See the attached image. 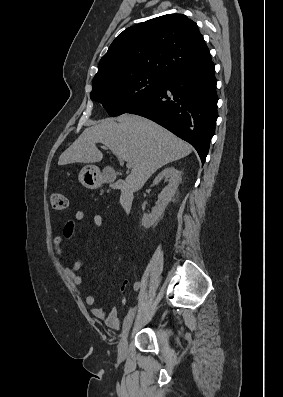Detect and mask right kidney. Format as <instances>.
<instances>
[{"mask_svg":"<svg viewBox=\"0 0 283 397\" xmlns=\"http://www.w3.org/2000/svg\"><path fill=\"white\" fill-rule=\"evenodd\" d=\"M163 179L168 180V185L159 194L158 201L152 212L144 215L142 218V226L146 229L153 226L159 220L166 206L175 195L181 181V173L174 167H167L156 176L153 183L156 185Z\"/></svg>","mask_w":283,"mask_h":397,"instance_id":"ca27d5eb","label":"right kidney"}]
</instances>
